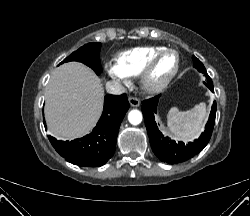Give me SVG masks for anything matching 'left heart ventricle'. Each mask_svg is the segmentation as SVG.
Here are the masks:
<instances>
[{
    "mask_svg": "<svg viewBox=\"0 0 250 216\" xmlns=\"http://www.w3.org/2000/svg\"><path fill=\"white\" fill-rule=\"evenodd\" d=\"M176 65V56L172 53L166 54L160 58L152 73L151 81L154 84L163 82L173 71Z\"/></svg>",
    "mask_w": 250,
    "mask_h": 216,
    "instance_id": "b2bd125f",
    "label": "left heart ventricle"
}]
</instances>
